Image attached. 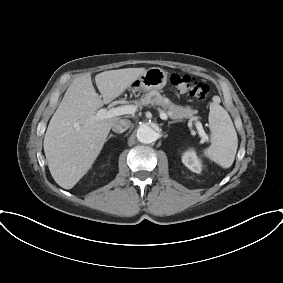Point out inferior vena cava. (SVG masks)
I'll return each instance as SVG.
<instances>
[{
	"mask_svg": "<svg viewBox=\"0 0 283 283\" xmlns=\"http://www.w3.org/2000/svg\"><path fill=\"white\" fill-rule=\"evenodd\" d=\"M131 125L130 120L127 119H120L117 122H115L112 126V130L115 133H123L126 131Z\"/></svg>",
	"mask_w": 283,
	"mask_h": 283,
	"instance_id": "602c4592",
	"label": "inferior vena cava"
}]
</instances>
